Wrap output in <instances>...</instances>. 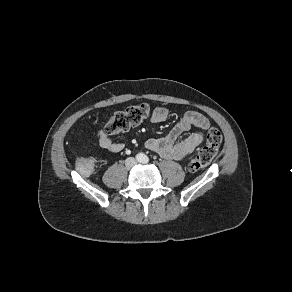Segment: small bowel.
<instances>
[{"instance_id":"c3829d8e","label":"small bowel","mask_w":292,"mask_h":292,"mask_svg":"<svg viewBox=\"0 0 292 292\" xmlns=\"http://www.w3.org/2000/svg\"><path fill=\"white\" fill-rule=\"evenodd\" d=\"M168 114L167 108L157 107L152 112L151 121L162 123L167 119ZM209 126L210 123L205 116L196 111H188L166 136L148 139L146 147L165 159L182 160L203 143L204 132ZM190 129L194 131L187 138L176 142L182 132ZM98 136L100 147L109 152L119 153L125 149L124 143L112 140L103 129L99 131Z\"/></svg>"}]
</instances>
